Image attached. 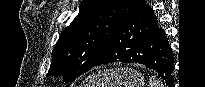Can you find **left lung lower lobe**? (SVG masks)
Listing matches in <instances>:
<instances>
[{"label": "left lung lower lobe", "mask_w": 205, "mask_h": 87, "mask_svg": "<svg viewBox=\"0 0 205 87\" xmlns=\"http://www.w3.org/2000/svg\"><path fill=\"white\" fill-rule=\"evenodd\" d=\"M114 62L143 64L173 83L174 58L166 34L144 0L135 2L94 66Z\"/></svg>", "instance_id": "left-lung-lower-lobe-1"}]
</instances>
